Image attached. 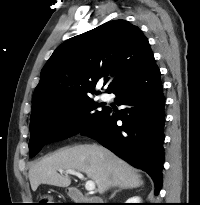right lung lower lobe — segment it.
<instances>
[{
    "mask_svg": "<svg viewBox=\"0 0 200 205\" xmlns=\"http://www.w3.org/2000/svg\"><path fill=\"white\" fill-rule=\"evenodd\" d=\"M112 93L117 105L126 108L117 112L108 108L94 126L81 134L95 138L117 156L146 171L157 195L164 163L165 98L155 60ZM118 120L122 124H117Z\"/></svg>",
    "mask_w": 200,
    "mask_h": 205,
    "instance_id": "98d812e1",
    "label": "right lung lower lobe"
}]
</instances>
